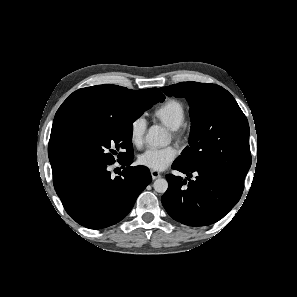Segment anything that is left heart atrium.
Wrapping results in <instances>:
<instances>
[{"label": "left heart atrium", "instance_id": "obj_1", "mask_svg": "<svg viewBox=\"0 0 297 297\" xmlns=\"http://www.w3.org/2000/svg\"><path fill=\"white\" fill-rule=\"evenodd\" d=\"M177 149L166 146L158 149H148L138 158L141 165L156 171L164 170L176 158Z\"/></svg>", "mask_w": 297, "mask_h": 297}]
</instances>
